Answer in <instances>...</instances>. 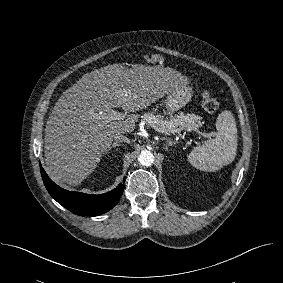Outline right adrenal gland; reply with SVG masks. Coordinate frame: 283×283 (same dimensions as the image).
Wrapping results in <instances>:
<instances>
[{
  "label": "right adrenal gland",
  "instance_id": "obj_1",
  "mask_svg": "<svg viewBox=\"0 0 283 283\" xmlns=\"http://www.w3.org/2000/svg\"><path fill=\"white\" fill-rule=\"evenodd\" d=\"M121 146V143L120 142H114L108 149V151H110L112 148H115V147H119Z\"/></svg>",
  "mask_w": 283,
  "mask_h": 283
}]
</instances>
